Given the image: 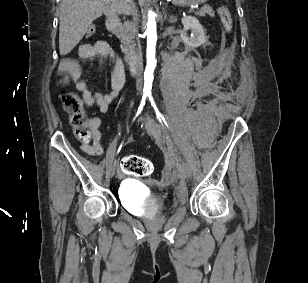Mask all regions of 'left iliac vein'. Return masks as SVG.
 <instances>
[{
	"label": "left iliac vein",
	"mask_w": 308,
	"mask_h": 283,
	"mask_svg": "<svg viewBox=\"0 0 308 283\" xmlns=\"http://www.w3.org/2000/svg\"><path fill=\"white\" fill-rule=\"evenodd\" d=\"M146 126L148 131L158 140H165V136L158 123L150 116L146 118ZM180 174L182 178L188 179L191 176V171L186 163H182L180 167Z\"/></svg>",
	"instance_id": "left-iliac-vein-1"
}]
</instances>
